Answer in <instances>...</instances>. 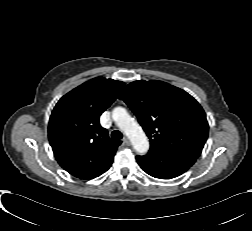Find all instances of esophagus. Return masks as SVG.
<instances>
[{
  "mask_svg": "<svg viewBox=\"0 0 252 231\" xmlns=\"http://www.w3.org/2000/svg\"><path fill=\"white\" fill-rule=\"evenodd\" d=\"M123 143H124V145H126V146H129L131 143H130V140L128 139V137H124L123 138Z\"/></svg>",
  "mask_w": 252,
  "mask_h": 231,
  "instance_id": "1",
  "label": "esophagus"
}]
</instances>
